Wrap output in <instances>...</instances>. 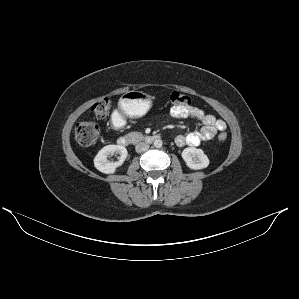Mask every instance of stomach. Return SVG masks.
Here are the masks:
<instances>
[{"label":"stomach","instance_id":"1","mask_svg":"<svg viewBox=\"0 0 299 299\" xmlns=\"http://www.w3.org/2000/svg\"><path fill=\"white\" fill-rule=\"evenodd\" d=\"M119 109L131 118L144 116L152 106V98L140 91H128L119 100Z\"/></svg>","mask_w":299,"mask_h":299}]
</instances>
